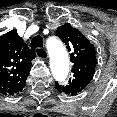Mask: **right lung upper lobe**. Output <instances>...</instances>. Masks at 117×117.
<instances>
[{
    "label": "right lung upper lobe",
    "instance_id": "obj_1",
    "mask_svg": "<svg viewBox=\"0 0 117 117\" xmlns=\"http://www.w3.org/2000/svg\"><path fill=\"white\" fill-rule=\"evenodd\" d=\"M35 57V52L23 42L16 29L0 36L1 94L15 95L23 89Z\"/></svg>",
    "mask_w": 117,
    "mask_h": 117
}]
</instances>
